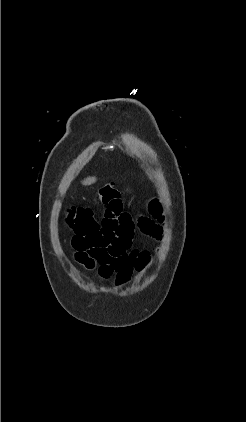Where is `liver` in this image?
<instances>
[{
    "label": "liver",
    "mask_w": 246,
    "mask_h": 422,
    "mask_svg": "<svg viewBox=\"0 0 246 422\" xmlns=\"http://www.w3.org/2000/svg\"><path fill=\"white\" fill-rule=\"evenodd\" d=\"M96 182V178L95 177H88L86 178L84 181H82V184L87 186V185H91L93 183Z\"/></svg>",
    "instance_id": "1"
}]
</instances>
